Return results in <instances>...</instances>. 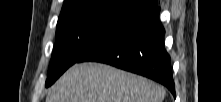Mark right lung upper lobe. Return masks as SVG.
Returning a JSON list of instances; mask_svg holds the SVG:
<instances>
[{
	"mask_svg": "<svg viewBox=\"0 0 221 102\" xmlns=\"http://www.w3.org/2000/svg\"><path fill=\"white\" fill-rule=\"evenodd\" d=\"M88 1L92 0H64L61 13L77 8ZM120 1H122L127 6L138 9L139 11H143L149 8L156 2V0H120Z\"/></svg>",
	"mask_w": 221,
	"mask_h": 102,
	"instance_id": "right-lung-upper-lobe-1",
	"label": "right lung upper lobe"
}]
</instances>
